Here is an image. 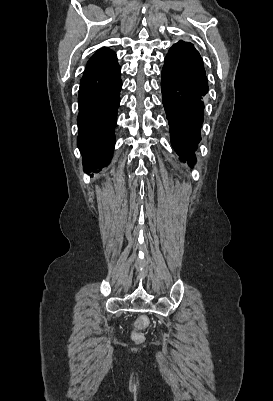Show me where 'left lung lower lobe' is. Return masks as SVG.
I'll use <instances>...</instances> for the list:
<instances>
[{
	"label": "left lung lower lobe",
	"mask_w": 273,
	"mask_h": 401,
	"mask_svg": "<svg viewBox=\"0 0 273 401\" xmlns=\"http://www.w3.org/2000/svg\"><path fill=\"white\" fill-rule=\"evenodd\" d=\"M161 78L172 147L192 167L204 117L201 99L208 92L203 60L192 43L180 40L170 48Z\"/></svg>",
	"instance_id": "1"
}]
</instances>
